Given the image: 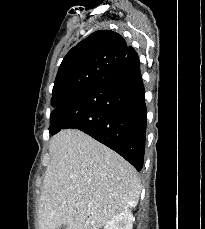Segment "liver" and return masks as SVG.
<instances>
[{"label":"liver","instance_id":"1","mask_svg":"<svg viewBox=\"0 0 205 229\" xmlns=\"http://www.w3.org/2000/svg\"><path fill=\"white\" fill-rule=\"evenodd\" d=\"M39 203V229H100L134 208L141 192L134 167L87 134L52 137Z\"/></svg>","mask_w":205,"mask_h":229}]
</instances>
